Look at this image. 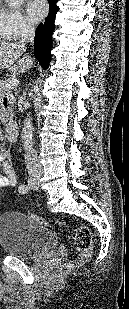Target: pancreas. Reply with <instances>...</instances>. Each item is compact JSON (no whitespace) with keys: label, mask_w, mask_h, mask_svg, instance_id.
<instances>
[{"label":"pancreas","mask_w":129,"mask_h":309,"mask_svg":"<svg viewBox=\"0 0 129 309\" xmlns=\"http://www.w3.org/2000/svg\"><path fill=\"white\" fill-rule=\"evenodd\" d=\"M6 81L0 80V95L10 93L11 89L5 86ZM13 113L12 110L4 111L0 109V120L3 124H6L10 119H12Z\"/></svg>","instance_id":"1"}]
</instances>
